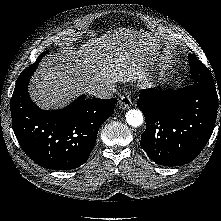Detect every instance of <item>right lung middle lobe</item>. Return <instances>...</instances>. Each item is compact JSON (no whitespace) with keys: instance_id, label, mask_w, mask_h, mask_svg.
<instances>
[{"instance_id":"1","label":"right lung middle lobe","mask_w":221,"mask_h":221,"mask_svg":"<svg viewBox=\"0 0 221 221\" xmlns=\"http://www.w3.org/2000/svg\"><path fill=\"white\" fill-rule=\"evenodd\" d=\"M46 53H48V51L43 52V53L39 56V59H41V58L44 56V54H46Z\"/></svg>"}]
</instances>
